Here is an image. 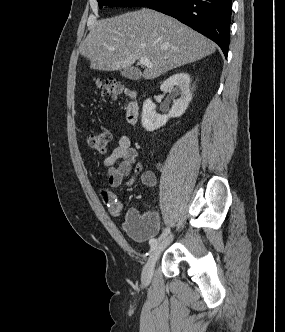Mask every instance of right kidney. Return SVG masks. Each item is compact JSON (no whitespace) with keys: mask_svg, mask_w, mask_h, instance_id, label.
Wrapping results in <instances>:
<instances>
[{"mask_svg":"<svg viewBox=\"0 0 285 332\" xmlns=\"http://www.w3.org/2000/svg\"><path fill=\"white\" fill-rule=\"evenodd\" d=\"M189 83L190 76L182 72L174 74L161 84L162 91L169 92L173 96H180L179 99L173 101V106L168 114H157L156 106L151 99H147L143 103L141 123L147 131H154L164 126L169 118L180 117L185 113L192 99Z\"/></svg>","mask_w":285,"mask_h":332,"instance_id":"ca27d5eb","label":"right kidney"}]
</instances>
